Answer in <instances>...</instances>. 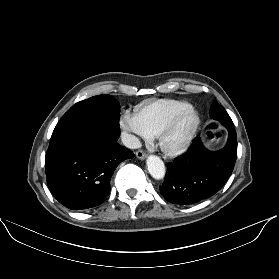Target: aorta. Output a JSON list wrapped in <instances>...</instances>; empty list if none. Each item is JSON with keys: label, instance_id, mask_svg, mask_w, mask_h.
<instances>
[{"label": "aorta", "instance_id": "762f6f07", "mask_svg": "<svg viewBox=\"0 0 279 279\" xmlns=\"http://www.w3.org/2000/svg\"><path fill=\"white\" fill-rule=\"evenodd\" d=\"M147 169L154 179H162L165 175V165L160 157L150 155L146 161Z\"/></svg>", "mask_w": 279, "mask_h": 279}]
</instances>
